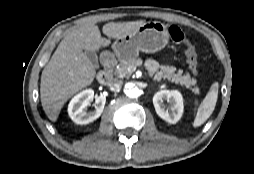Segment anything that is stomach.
Returning a JSON list of instances; mask_svg holds the SVG:
<instances>
[{"label":"stomach","instance_id":"1","mask_svg":"<svg viewBox=\"0 0 254 174\" xmlns=\"http://www.w3.org/2000/svg\"><path fill=\"white\" fill-rule=\"evenodd\" d=\"M169 40L166 25L161 22H147L137 31L116 39L112 45L114 55L119 60L136 58L139 51L154 53L163 49Z\"/></svg>","mask_w":254,"mask_h":174}]
</instances>
